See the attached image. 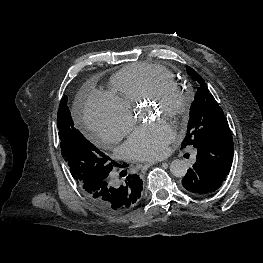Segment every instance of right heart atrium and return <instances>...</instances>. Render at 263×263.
I'll use <instances>...</instances> for the list:
<instances>
[{"mask_svg": "<svg viewBox=\"0 0 263 263\" xmlns=\"http://www.w3.org/2000/svg\"><path fill=\"white\" fill-rule=\"evenodd\" d=\"M84 118L88 129L104 146L121 139L133 125L131 110L112 94L101 91L88 97Z\"/></svg>", "mask_w": 263, "mask_h": 263, "instance_id": "d8ad5b80", "label": "right heart atrium"}]
</instances>
